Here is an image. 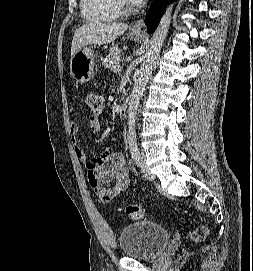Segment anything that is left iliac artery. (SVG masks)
I'll return each mask as SVG.
<instances>
[{
    "instance_id": "left-iliac-artery-1",
    "label": "left iliac artery",
    "mask_w": 253,
    "mask_h": 271,
    "mask_svg": "<svg viewBox=\"0 0 253 271\" xmlns=\"http://www.w3.org/2000/svg\"><path fill=\"white\" fill-rule=\"evenodd\" d=\"M129 147H130V153L131 157L134 160V162L139 165V148H138V143L136 140H130L129 141Z\"/></svg>"
}]
</instances>
